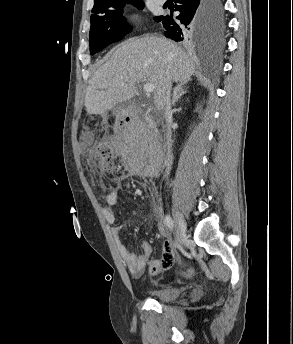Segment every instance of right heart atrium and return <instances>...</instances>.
<instances>
[{
	"instance_id": "right-heart-atrium-1",
	"label": "right heart atrium",
	"mask_w": 293,
	"mask_h": 344,
	"mask_svg": "<svg viewBox=\"0 0 293 344\" xmlns=\"http://www.w3.org/2000/svg\"><path fill=\"white\" fill-rule=\"evenodd\" d=\"M122 25L128 30H135L138 25L137 16L133 13L125 14L121 18Z\"/></svg>"
}]
</instances>
